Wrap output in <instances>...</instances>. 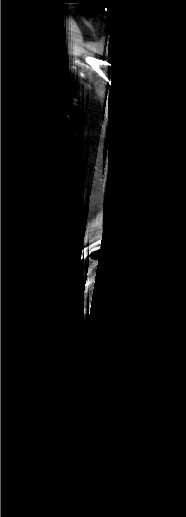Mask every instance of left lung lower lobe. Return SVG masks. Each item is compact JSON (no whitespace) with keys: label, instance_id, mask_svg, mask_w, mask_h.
<instances>
[{"label":"left lung lower lobe","instance_id":"0a47b994","mask_svg":"<svg viewBox=\"0 0 186 517\" xmlns=\"http://www.w3.org/2000/svg\"><path fill=\"white\" fill-rule=\"evenodd\" d=\"M101 253H103V251H102V250H101V248H100V251H99V256L101 255Z\"/></svg>","mask_w":186,"mask_h":517}]
</instances>
